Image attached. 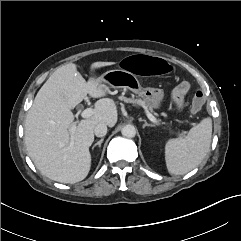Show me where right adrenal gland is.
Wrapping results in <instances>:
<instances>
[{
    "instance_id": "1",
    "label": "right adrenal gland",
    "mask_w": 241,
    "mask_h": 241,
    "mask_svg": "<svg viewBox=\"0 0 241 241\" xmlns=\"http://www.w3.org/2000/svg\"><path fill=\"white\" fill-rule=\"evenodd\" d=\"M104 141V138L100 139L97 143H95L92 147V149H94L96 146H98L99 148H101V144Z\"/></svg>"
}]
</instances>
